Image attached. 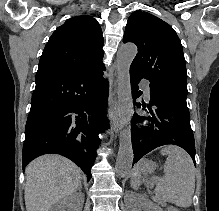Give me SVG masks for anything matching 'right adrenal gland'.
I'll return each instance as SVG.
<instances>
[{
	"label": "right adrenal gland",
	"mask_w": 219,
	"mask_h": 211,
	"mask_svg": "<svg viewBox=\"0 0 219 211\" xmlns=\"http://www.w3.org/2000/svg\"><path fill=\"white\" fill-rule=\"evenodd\" d=\"M78 191H79V193H82L81 187H78ZM75 193H76V191H75Z\"/></svg>",
	"instance_id": "right-adrenal-gland-1"
}]
</instances>
